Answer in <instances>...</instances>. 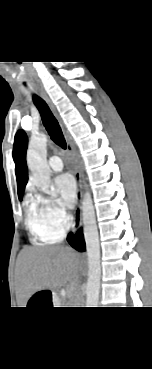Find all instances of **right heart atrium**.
Here are the masks:
<instances>
[{
	"label": "right heart atrium",
	"mask_w": 152,
	"mask_h": 369,
	"mask_svg": "<svg viewBox=\"0 0 152 369\" xmlns=\"http://www.w3.org/2000/svg\"><path fill=\"white\" fill-rule=\"evenodd\" d=\"M50 230L54 234L64 233L69 222V215L54 198L36 195L33 199Z\"/></svg>",
	"instance_id": "1"
}]
</instances>
